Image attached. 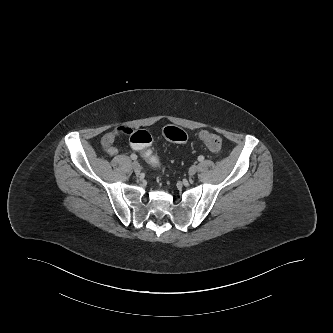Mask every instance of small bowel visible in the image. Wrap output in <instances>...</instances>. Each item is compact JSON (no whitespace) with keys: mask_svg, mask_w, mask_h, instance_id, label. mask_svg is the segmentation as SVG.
Listing matches in <instances>:
<instances>
[{"mask_svg":"<svg viewBox=\"0 0 333 333\" xmlns=\"http://www.w3.org/2000/svg\"><path fill=\"white\" fill-rule=\"evenodd\" d=\"M119 137L133 139L135 132L130 127H119L106 133L101 139V147L106 155L116 156L118 154L119 150L114 146V142Z\"/></svg>","mask_w":333,"mask_h":333,"instance_id":"small-bowel-1","label":"small bowel"}]
</instances>
